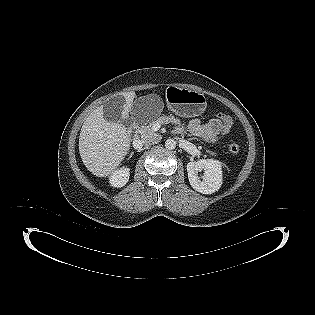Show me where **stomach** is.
Instances as JSON below:
<instances>
[{
    "label": "stomach",
    "mask_w": 315,
    "mask_h": 315,
    "mask_svg": "<svg viewBox=\"0 0 315 315\" xmlns=\"http://www.w3.org/2000/svg\"><path fill=\"white\" fill-rule=\"evenodd\" d=\"M165 97L168 109L181 117L199 116L207 106L204 94L187 88L170 86L166 90Z\"/></svg>",
    "instance_id": "stomach-1"
}]
</instances>
